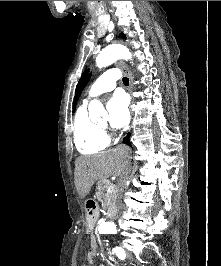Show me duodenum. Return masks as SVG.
I'll return each mask as SVG.
<instances>
[{"instance_id":"410a0bca","label":"duodenum","mask_w":221,"mask_h":266,"mask_svg":"<svg viewBox=\"0 0 221 266\" xmlns=\"http://www.w3.org/2000/svg\"><path fill=\"white\" fill-rule=\"evenodd\" d=\"M87 210H88V227L91 228L95 224V203L92 200L87 202ZM116 212H118V207H109L107 215L108 216H115Z\"/></svg>"}]
</instances>
